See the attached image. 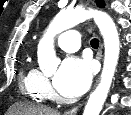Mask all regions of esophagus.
<instances>
[{"instance_id":"34e87169","label":"esophagus","mask_w":131,"mask_h":115,"mask_svg":"<svg viewBox=\"0 0 131 115\" xmlns=\"http://www.w3.org/2000/svg\"><path fill=\"white\" fill-rule=\"evenodd\" d=\"M101 57H102V50H101V47H100L99 50H98V52H97V58H98V59H101ZM80 106H81V105H79V106H77V107H74V108L68 110V111L65 113V115H76L77 112H78V110H79V108H80Z\"/></svg>"}]
</instances>
